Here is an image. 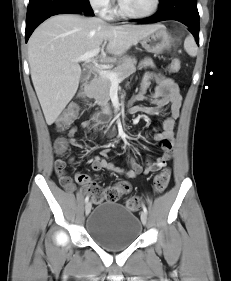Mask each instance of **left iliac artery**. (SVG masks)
Wrapping results in <instances>:
<instances>
[{
  "label": "left iliac artery",
  "mask_w": 231,
  "mask_h": 281,
  "mask_svg": "<svg viewBox=\"0 0 231 281\" xmlns=\"http://www.w3.org/2000/svg\"><path fill=\"white\" fill-rule=\"evenodd\" d=\"M142 208H143V211L147 214V208H146V206L143 205Z\"/></svg>",
  "instance_id": "1"
}]
</instances>
